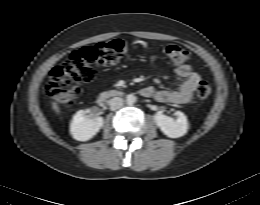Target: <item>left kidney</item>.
<instances>
[{
    "instance_id": "obj_1",
    "label": "left kidney",
    "mask_w": 260,
    "mask_h": 205,
    "mask_svg": "<svg viewBox=\"0 0 260 205\" xmlns=\"http://www.w3.org/2000/svg\"><path fill=\"white\" fill-rule=\"evenodd\" d=\"M176 119L163 114L162 111L154 115L156 125L169 138H179L184 136L188 131V121L184 113L175 112Z\"/></svg>"
}]
</instances>
